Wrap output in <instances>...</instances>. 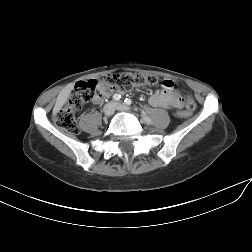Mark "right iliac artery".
Masks as SVG:
<instances>
[{
	"label": "right iliac artery",
	"mask_w": 252,
	"mask_h": 252,
	"mask_svg": "<svg viewBox=\"0 0 252 252\" xmlns=\"http://www.w3.org/2000/svg\"><path fill=\"white\" fill-rule=\"evenodd\" d=\"M121 98V95L119 94H114L113 99L118 101Z\"/></svg>",
	"instance_id": "1"
}]
</instances>
